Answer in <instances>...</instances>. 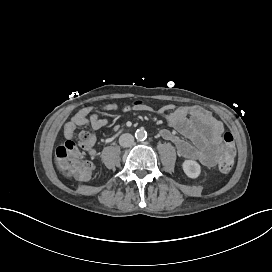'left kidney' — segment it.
<instances>
[{"label":"left kidney","mask_w":272,"mask_h":272,"mask_svg":"<svg viewBox=\"0 0 272 272\" xmlns=\"http://www.w3.org/2000/svg\"><path fill=\"white\" fill-rule=\"evenodd\" d=\"M185 173L192 178H195L200 173V166L194 161H186L183 165Z\"/></svg>","instance_id":"1"}]
</instances>
